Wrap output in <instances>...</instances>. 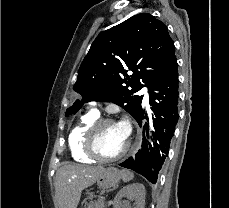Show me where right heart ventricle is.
I'll use <instances>...</instances> for the list:
<instances>
[{"instance_id": "e07e8e85", "label": "right heart ventricle", "mask_w": 229, "mask_h": 208, "mask_svg": "<svg viewBox=\"0 0 229 208\" xmlns=\"http://www.w3.org/2000/svg\"><path fill=\"white\" fill-rule=\"evenodd\" d=\"M99 114L90 110L83 115L77 124L71 129L68 136L69 152L72 160L80 164H90L96 161V158H87V153H82V148L86 141V134L89 126L98 119Z\"/></svg>"}]
</instances>
